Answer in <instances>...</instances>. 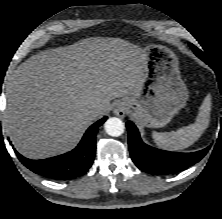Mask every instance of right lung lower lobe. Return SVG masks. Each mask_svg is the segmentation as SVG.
Here are the masks:
<instances>
[{"label": "right lung lower lobe", "mask_w": 222, "mask_h": 219, "mask_svg": "<svg viewBox=\"0 0 222 219\" xmlns=\"http://www.w3.org/2000/svg\"><path fill=\"white\" fill-rule=\"evenodd\" d=\"M106 119L105 116L90 126L78 146L68 153L48 159L31 160L14 151L19 160L34 173L58 180L76 178L85 174L92 166L96 152V133Z\"/></svg>", "instance_id": "98d812e1"}]
</instances>
